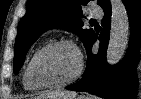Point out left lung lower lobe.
Here are the masks:
<instances>
[{"label":"left lung lower lobe","mask_w":141,"mask_h":99,"mask_svg":"<svg viewBox=\"0 0 141 99\" xmlns=\"http://www.w3.org/2000/svg\"><path fill=\"white\" fill-rule=\"evenodd\" d=\"M130 22L129 45L123 60L117 65H109L106 61V51L109 42L111 26V5L103 8V30L99 36L100 47L97 54L91 53V48L97 37L95 33L85 46L87 50V65L84 75L78 82L66 87L68 90L89 92L105 99H136L138 81L136 64L139 60L141 45V4L140 0H123Z\"/></svg>","instance_id":"0a47b994"}]
</instances>
